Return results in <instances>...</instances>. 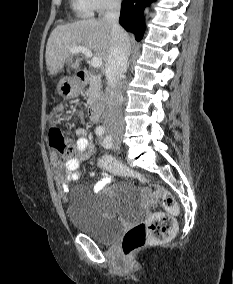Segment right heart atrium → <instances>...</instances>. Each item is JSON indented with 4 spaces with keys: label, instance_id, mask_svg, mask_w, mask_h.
<instances>
[{
    "label": "right heart atrium",
    "instance_id": "right-heart-atrium-1",
    "mask_svg": "<svg viewBox=\"0 0 233 284\" xmlns=\"http://www.w3.org/2000/svg\"><path fill=\"white\" fill-rule=\"evenodd\" d=\"M121 0H88L93 11L102 13L117 7Z\"/></svg>",
    "mask_w": 233,
    "mask_h": 284
}]
</instances>
